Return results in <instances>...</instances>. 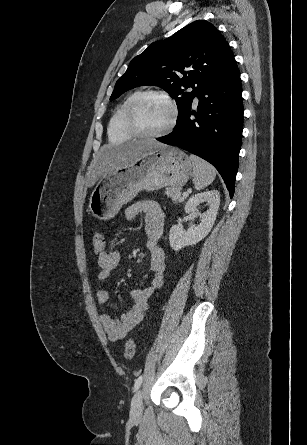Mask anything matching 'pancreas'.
Instances as JSON below:
<instances>
[{
    "mask_svg": "<svg viewBox=\"0 0 307 445\" xmlns=\"http://www.w3.org/2000/svg\"><path fill=\"white\" fill-rule=\"evenodd\" d=\"M165 194L170 196L174 202H183V200L186 198V196H182L181 186H176V188H170V186H167Z\"/></svg>",
    "mask_w": 307,
    "mask_h": 445,
    "instance_id": "pancreas-1",
    "label": "pancreas"
}]
</instances>
